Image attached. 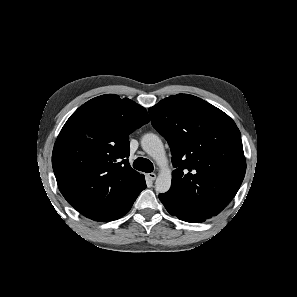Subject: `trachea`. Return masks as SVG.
<instances>
[{
  "label": "trachea",
  "mask_w": 297,
  "mask_h": 297,
  "mask_svg": "<svg viewBox=\"0 0 297 297\" xmlns=\"http://www.w3.org/2000/svg\"><path fill=\"white\" fill-rule=\"evenodd\" d=\"M133 167L139 171H143L146 173H150L153 171V164L150 160L143 158V157H138L134 163Z\"/></svg>",
  "instance_id": "1"
}]
</instances>
